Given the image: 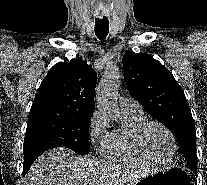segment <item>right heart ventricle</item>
<instances>
[{
    "instance_id": "obj_1",
    "label": "right heart ventricle",
    "mask_w": 207,
    "mask_h": 185,
    "mask_svg": "<svg viewBox=\"0 0 207 185\" xmlns=\"http://www.w3.org/2000/svg\"><path fill=\"white\" fill-rule=\"evenodd\" d=\"M122 112V124L102 140L103 156L112 162L123 165L153 164V161L143 154L136 139L137 129L146 121V118L141 112Z\"/></svg>"
}]
</instances>
